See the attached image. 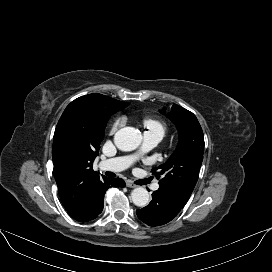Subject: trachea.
<instances>
[{"label":"trachea","mask_w":272,"mask_h":272,"mask_svg":"<svg viewBox=\"0 0 272 272\" xmlns=\"http://www.w3.org/2000/svg\"><path fill=\"white\" fill-rule=\"evenodd\" d=\"M105 174L109 177H115V174L112 172H106Z\"/></svg>","instance_id":"1"}]
</instances>
